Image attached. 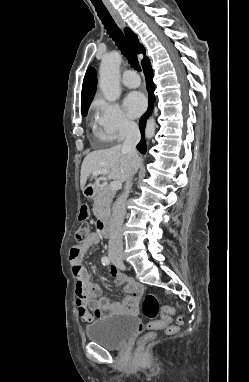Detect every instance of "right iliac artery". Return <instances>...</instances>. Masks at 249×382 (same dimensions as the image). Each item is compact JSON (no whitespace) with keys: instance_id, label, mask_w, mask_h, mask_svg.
Listing matches in <instances>:
<instances>
[{"instance_id":"82829eb1","label":"right iliac artery","mask_w":249,"mask_h":382,"mask_svg":"<svg viewBox=\"0 0 249 382\" xmlns=\"http://www.w3.org/2000/svg\"><path fill=\"white\" fill-rule=\"evenodd\" d=\"M102 263H103V265H108L110 263L109 258L108 257H103L102 258Z\"/></svg>"}]
</instances>
